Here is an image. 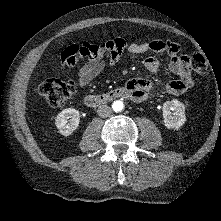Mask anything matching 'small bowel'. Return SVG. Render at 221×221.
Wrapping results in <instances>:
<instances>
[{
	"mask_svg": "<svg viewBox=\"0 0 221 221\" xmlns=\"http://www.w3.org/2000/svg\"><path fill=\"white\" fill-rule=\"evenodd\" d=\"M77 47L79 56L87 58L86 64L77 73V81L80 86L89 85L107 66L115 65L125 50L132 54H144L147 52H166L168 54V67L177 76V79L167 82L161 88L164 92L180 95L194 85L191 68L186 56L181 55L180 46L170 40L129 43L125 39L116 38L101 44L84 42ZM143 63L152 74L159 72L160 64L156 57L148 56ZM125 88L130 92L131 98L137 102L145 101L150 92L159 89L152 81L146 79H131L126 83Z\"/></svg>",
	"mask_w": 221,
	"mask_h": 221,
	"instance_id": "obj_1",
	"label": "small bowel"
}]
</instances>
